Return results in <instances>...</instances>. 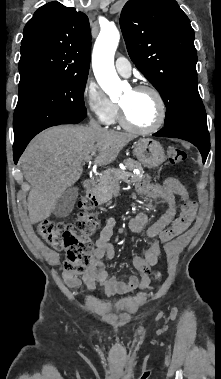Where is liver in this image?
<instances>
[{
  "mask_svg": "<svg viewBox=\"0 0 221 379\" xmlns=\"http://www.w3.org/2000/svg\"><path fill=\"white\" fill-rule=\"evenodd\" d=\"M133 138L131 134L83 126L53 127L36 136L21 156L24 177L31 185V223L51 215L61 194L80 178L90 154L95 164L108 165Z\"/></svg>",
  "mask_w": 221,
  "mask_h": 379,
  "instance_id": "1",
  "label": "liver"
}]
</instances>
